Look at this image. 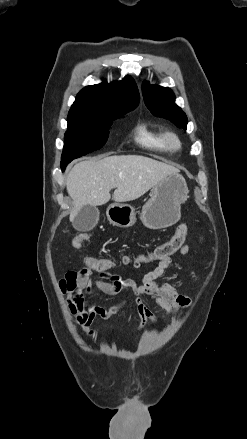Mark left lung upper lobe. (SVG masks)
Instances as JSON below:
<instances>
[{
	"instance_id": "5c2ea615",
	"label": "left lung upper lobe",
	"mask_w": 247,
	"mask_h": 439,
	"mask_svg": "<svg viewBox=\"0 0 247 439\" xmlns=\"http://www.w3.org/2000/svg\"><path fill=\"white\" fill-rule=\"evenodd\" d=\"M142 93L147 108L154 115L166 118L180 128H187L186 114L174 103L175 96L170 89L144 81Z\"/></svg>"
}]
</instances>
